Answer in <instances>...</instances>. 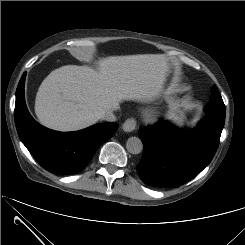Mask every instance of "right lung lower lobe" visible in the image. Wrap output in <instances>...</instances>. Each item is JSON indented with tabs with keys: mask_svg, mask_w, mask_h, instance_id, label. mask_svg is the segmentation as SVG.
Masks as SVG:
<instances>
[{
	"mask_svg": "<svg viewBox=\"0 0 245 245\" xmlns=\"http://www.w3.org/2000/svg\"><path fill=\"white\" fill-rule=\"evenodd\" d=\"M23 74L15 103V123L19 138L38 161L51 173L75 174L83 170L98 147L118 128L117 123H100L75 132H58L37 123L27 110Z\"/></svg>",
	"mask_w": 245,
	"mask_h": 245,
	"instance_id": "1",
	"label": "right lung lower lobe"
}]
</instances>
